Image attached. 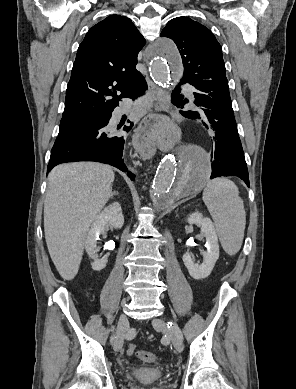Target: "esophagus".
Returning a JSON list of instances; mask_svg holds the SVG:
<instances>
[{
	"instance_id": "esophagus-1",
	"label": "esophagus",
	"mask_w": 296,
	"mask_h": 389,
	"mask_svg": "<svg viewBox=\"0 0 296 389\" xmlns=\"http://www.w3.org/2000/svg\"><path fill=\"white\" fill-rule=\"evenodd\" d=\"M148 91L154 100L156 111L167 109V94L146 76ZM172 117L170 112H149L145 122L137 124L136 131L132 135V148L138 151L141 157H150L153 154L152 140L156 131H170L172 129Z\"/></svg>"
}]
</instances>
